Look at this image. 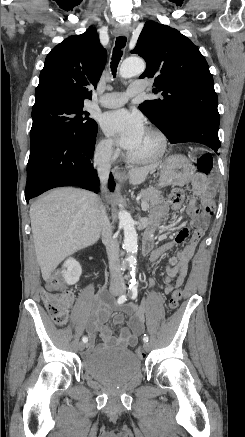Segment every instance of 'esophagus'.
Segmentation results:
<instances>
[{
    "mask_svg": "<svg viewBox=\"0 0 245 437\" xmlns=\"http://www.w3.org/2000/svg\"><path fill=\"white\" fill-rule=\"evenodd\" d=\"M115 33L119 36L128 37L129 33L128 30L124 27L118 26L115 30ZM113 175L116 179H121L123 177V174L117 170H113Z\"/></svg>",
    "mask_w": 245,
    "mask_h": 437,
    "instance_id": "obj_1",
    "label": "esophagus"
}]
</instances>
